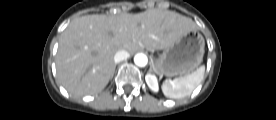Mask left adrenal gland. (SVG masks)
<instances>
[{"instance_id":"1","label":"left adrenal gland","mask_w":276,"mask_h":120,"mask_svg":"<svg viewBox=\"0 0 276 120\" xmlns=\"http://www.w3.org/2000/svg\"><path fill=\"white\" fill-rule=\"evenodd\" d=\"M150 72H152V68H150V70H149Z\"/></svg>"}]
</instances>
